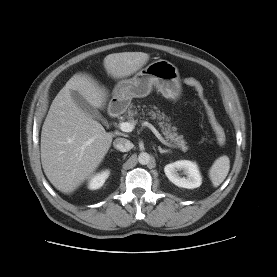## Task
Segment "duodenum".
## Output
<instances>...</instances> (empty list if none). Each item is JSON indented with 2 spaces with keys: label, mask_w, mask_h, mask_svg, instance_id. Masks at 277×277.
<instances>
[{
  "label": "duodenum",
  "mask_w": 277,
  "mask_h": 277,
  "mask_svg": "<svg viewBox=\"0 0 277 277\" xmlns=\"http://www.w3.org/2000/svg\"><path fill=\"white\" fill-rule=\"evenodd\" d=\"M119 115V107L118 105H112L110 107V116L117 117Z\"/></svg>",
  "instance_id": "1"
}]
</instances>
